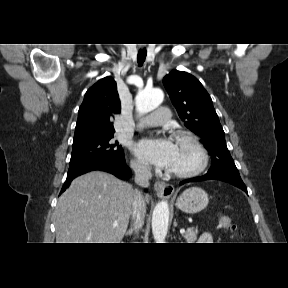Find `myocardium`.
<instances>
[{"label":"myocardium","instance_id":"f54148a6","mask_svg":"<svg viewBox=\"0 0 288 288\" xmlns=\"http://www.w3.org/2000/svg\"><path fill=\"white\" fill-rule=\"evenodd\" d=\"M174 137L178 141H182L191 146L197 154L198 162L195 166L185 170H168V173L172 176L186 178L193 177L200 174L205 170L208 164V153L200 142L198 137L189 131H177L174 133Z\"/></svg>","mask_w":288,"mask_h":288}]
</instances>
